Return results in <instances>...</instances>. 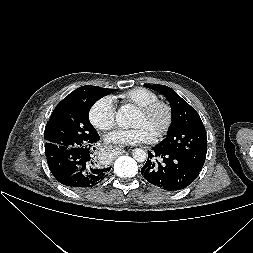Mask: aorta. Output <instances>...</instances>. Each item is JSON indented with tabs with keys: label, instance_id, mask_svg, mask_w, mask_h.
<instances>
[{
	"label": "aorta",
	"instance_id": "1",
	"mask_svg": "<svg viewBox=\"0 0 253 253\" xmlns=\"http://www.w3.org/2000/svg\"><path fill=\"white\" fill-rule=\"evenodd\" d=\"M116 122L120 127L127 128L131 122V110L125 106L121 107L116 114ZM133 158L137 162H144L147 159V153L137 148L133 152Z\"/></svg>",
	"mask_w": 253,
	"mask_h": 253
}]
</instances>
